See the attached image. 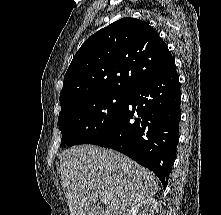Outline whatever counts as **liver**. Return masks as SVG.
Listing matches in <instances>:
<instances>
[{
    "mask_svg": "<svg viewBox=\"0 0 221 215\" xmlns=\"http://www.w3.org/2000/svg\"><path fill=\"white\" fill-rule=\"evenodd\" d=\"M59 172L70 215H85L99 196L105 205L101 215H120L159 189L150 170L119 152L91 145L64 151Z\"/></svg>",
    "mask_w": 221,
    "mask_h": 215,
    "instance_id": "1",
    "label": "liver"
}]
</instances>
